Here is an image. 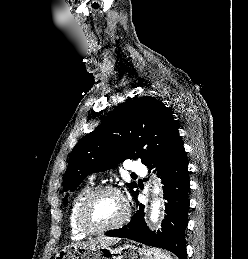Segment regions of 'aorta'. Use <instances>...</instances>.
<instances>
[{
	"instance_id": "obj_1",
	"label": "aorta",
	"mask_w": 248,
	"mask_h": 259,
	"mask_svg": "<svg viewBox=\"0 0 248 259\" xmlns=\"http://www.w3.org/2000/svg\"><path fill=\"white\" fill-rule=\"evenodd\" d=\"M161 188L158 185L154 187V201L151 204V213L150 220L153 223H156L159 219L161 208H162V199H161Z\"/></svg>"
}]
</instances>
